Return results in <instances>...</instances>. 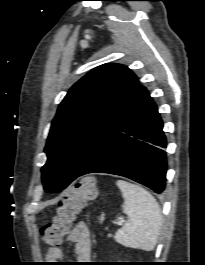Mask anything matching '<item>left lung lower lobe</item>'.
Returning <instances> with one entry per match:
<instances>
[{
	"label": "left lung lower lobe",
	"mask_w": 205,
	"mask_h": 265,
	"mask_svg": "<svg viewBox=\"0 0 205 265\" xmlns=\"http://www.w3.org/2000/svg\"><path fill=\"white\" fill-rule=\"evenodd\" d=\"M148 91L120 128L98 149L77 177L94 172L124 176L151 188H165L166 138Z\"/></svg>",
	"instance_id": "obj_1"
}]
</instances>
